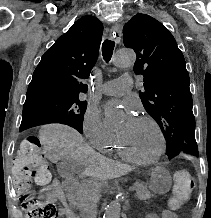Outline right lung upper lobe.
Masks as SVG:
<instances>
[{"instance_id": "1", "label": "right lung upper lobe", "mask_w": 211, "mask_h": 218, "mask_svg": "<svg viewBox=\"0 0 211 218\" xmlns=\"http://www.w3.org/2000/svg\"><path fill=\"white\" fill-rule=\"evenodd\" d=\"M103 25L93 16L77 20L44 53L29 84L26 101L50 97H78L87 92L82 81L98 58Z\"/></svg>"}]
</instances>
